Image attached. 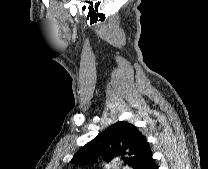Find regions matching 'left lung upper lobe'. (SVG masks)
Listing matches in <instances>:
<instances>
[{
    "instance_id": "1",
    "label": "left lung upper lobe",
    "mask_w": 208,
    "mask_h": 169,
    "mask_svg": "<svg viewBox=\"0 0 208 169\" xmlns=\"http://www.w3.org/2000/svg\"><path fill=\"white\" fill-rule=\"evenodd\" d=\"M149 149L146 137L133 124L120 121L84 145L71 163L87 165L102 156L108 162L120 158L131 168L138 169Z\"/></svg>"
}]
</instances>
